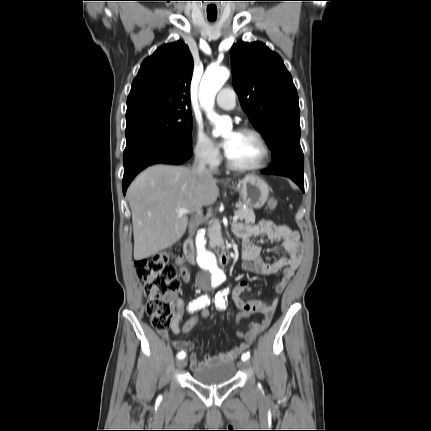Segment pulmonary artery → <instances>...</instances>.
I'll return each mask as SVG.
<instances>
[{"instance_id":"e3ab8cb5","label":"pulmonary artery","mask_w":431,"mask_h":431,"mask_svg":"<svg viewBox=\"0 0 431 431\" xmlns=\"http://www.w3.org/2000/svg\"><path fill=\"white\" fill-rule=\"evenodd\" d=\"M216 104L225 110H232L236 106V93L230 87H225L216 96Z\"/></svg>"}]
</instances>
